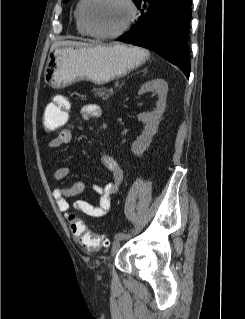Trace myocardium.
<instances>
[{
	"label": "myocardium",
	"mask_w": 245,
	"mask_h": 319,
	"mask_svg": "<svg viewBox=\"0 0 245 319\" xmlns=\"http://www.w3.org/2000/svg\"><path fill=\"white\" fill-rule=\"evenodd\" d=\"M123 1L126 3L129 9V18L126 21V23L121 28H119L118 30L114 32L101 33V32L95 31L88 22L87 9L89 4L92 2V0H84V3L81 8V20L86 31L89 33V35L98 39H114L123 35L134 24L138 15V9L134 0H123Z\"/></svg>",
	"instance_id": "myocardium-1"
}]
</instances>
